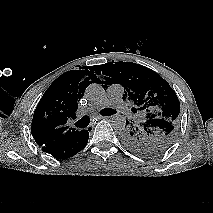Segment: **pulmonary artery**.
I'll return each mask as SVG.
<instances>
[{"mask_svg": "<svg viewBox=\"0 0 213 213\" xmlns=\"http://www.w3.org/2000/svg\"><path fill=\"white\" fill-rule=\"evenodd\" d=\"M124 88L120 84H112L107 88L105 97L95 105L85 109L84 114L94 110H99L108 106L115 107L118 110H124L126 103L122 99Z\"/></svg>", "mask_w": 213, "mask_h": 213, "instance_id": "1", "label": "pulmonary artery"}]
</instances>
